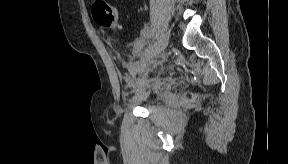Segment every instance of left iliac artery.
<instances>
[{
    "instance_id": "left-iliac-artery-1",
    "label": "left iliac artery",
    "mask_w": 288,
    "mask_h": 164,
    "mask_svg": "<svg viewBox=\"0 0 288 164\" xmlns=\"http://www.w3.org/2000/svg\"><path fill=\"white\" fill-rule=\"evenodd\" d=\"M156 43H157V41H154V43L151 44V45L146 49L145 53H144V54L142 55V57H141L142 60H145V59H148V58L151 57V55H152V53H153V50H154V48H155V46H156Z\"/></svg>"
}]
</instances>
